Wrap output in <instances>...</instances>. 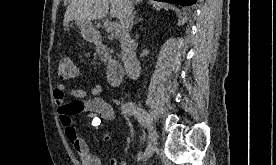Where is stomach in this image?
<instances>
[{
	"mask_svg": "<svg viewBox=\"0 0 276 165\" xmlns=\"http://www.w3.org/2000/svg\"><path fill=\"white\" fill-rule=\"evenodd\" d=\"M82 37L87 41H93L96 37V30L89 21H76Z\"/></svg>",
	"mask_w": 276,
	"mask_h": 165,
	"instance_id": "0dacf381",
	"label": "stomach"
}]
</instances>
